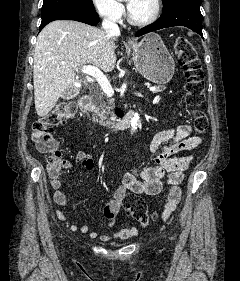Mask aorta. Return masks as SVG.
<instances>
[{
	"mask_svg": "<svg viewBox=\"0 0 240 281\" xmlns=\"http://www.w3.org/2000/svg\"><path fill=\"white\" fill-rule=\"evenodd\" d=\"M139 123H140L139 115H138V113H135L134 117L132 118V121H131V132L132 133L137 130Z\"/></svg>",
	"mask_w": 240,
	"mask_h": 281,
	"instance_id": "aorta-1",
	"label": "aorta"
}]
</instances>
